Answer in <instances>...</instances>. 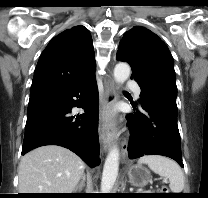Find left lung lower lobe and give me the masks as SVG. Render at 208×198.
<instances>
[{
  "label": "left lung lower lobe",
  "instance_id": "left-lung-lower-lobe-1",
  "mask_svg": "<svg viewBox=\"0 0 208 198\" xmlns=\"http://www.w3.org/2000/svg\"><path fill=\"white\" fill-rule=\"evenodd\" d=\"M131 137L127 147L129 158L144 155H163L182 163L177 112L155 98L147 97L140 109L127 115Z\"/></svg>",
  "mask_w": 208,
  "mask_h": 198
}]
</instances>
